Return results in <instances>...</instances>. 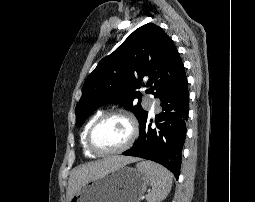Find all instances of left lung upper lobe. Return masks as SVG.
I'll return each mask as SVG.
<instances>
[{"label": "left lung upper lobe", "mask_w": 255, "mask_h": 202, "mask_svg": "<svg viewBox=\"0 0 255 202\" xmlns=\"http://www.w3.org/2000/svg\"><path fill=\"white\" fill-rule=\"evenodd\" d=\"M184 76L182 60L171 38L159 26L145 24L103 58L87 77L75 110L76 125H82L100 106L115 103L130 109L141 126L148 112L140 105V86L160 98ZM135 99H139L137 104L133 103Z\"/></svg>", "instance_id": "obj_1"}]
</instances>
